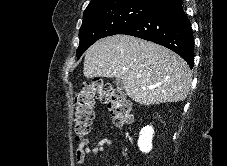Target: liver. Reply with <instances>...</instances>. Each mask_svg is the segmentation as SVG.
<instances>
[{
	"instance_id": "6515ba94",
	"label": "liver",
	"mask_w": 227,
	"mask_h": 166,
	"mask_svg": "<svg viewBox=\"0 0 227 166\" xmlns=\"http://www.w3.org/2000/svg\"><path fill=\"white\" fill-rule=\"evenodd\" d=\"M84 76L121 79L127 95L142 105L183 101L192 82L187 63L170 49L128 35H113L85 53Z\"/></svg>"
}]
</instances>
